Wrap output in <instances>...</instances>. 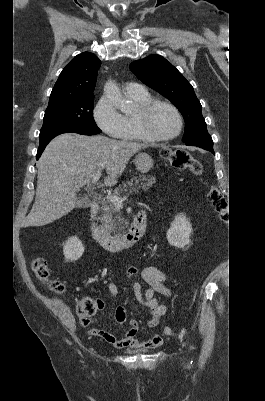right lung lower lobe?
<instances>
[{"instance_id":"obj_1","label":"right lung lower lobe","mask_w":265,"mask_h":401,"mask_svg":"<svg viewBox=\"0 0 265 401\" xmlns=\"http://www.w3.org/2000/svg\"><path fill=\"white\" fill-rule=\"evenodd\" d=\"M59 134L53 135L52 137L48 138L47 140H44L42 142H40L38 151H37V160L39 159V157L41 156L42 152L44 151L45 147L47 146V144Z\"/></svg>"}]
</instances>
